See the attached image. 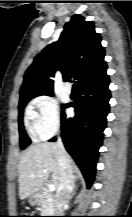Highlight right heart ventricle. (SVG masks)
<instances>
[{
  "label": "right heart ventricle",
  "mask_w": 132,
  "mask_h": 217,
  "mask_svg": "<svg viewBox=\"0 0 132 217\" xmlns=\"http://www.w3.org/2000/svg\"><path fill=\"white\" fill-rule=\"evenodd\" d=\"M26 127L31 134H36L35 119L31 109L27 112Z\"/></svg>",
  "instance_id": "1"
}]
</instances>
